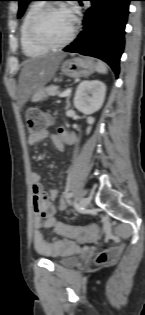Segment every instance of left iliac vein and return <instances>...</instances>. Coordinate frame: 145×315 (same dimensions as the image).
<instances>
[{
  "instance_id": "obj_1",
  "label": "left iliac vein",
  "mask_w": 145,
  "mask_h": 315,
  "mask_svg": "<svg viewBox=\"0 0 145 315\" xmlns=\"http://www.w3.org/2000/svg\"><path fill=\"white\" fill-rule=\"evenodd\" d=\"M90 204V199L87 197H83L80 199L79 205L82 209H86Z\"/></svg>"
}]
</instances>
